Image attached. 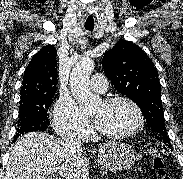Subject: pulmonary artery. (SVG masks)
I'll use <instances>...</instances> for the list:
<instances>
[{"label": "pulmonary artery", "instance_id": "pulmonary-artery-1", "mask_svg": "<svg viewBox=\"0 0 183 179\" xmlns=\"http://www.w3.org/2000/svg\"><path fill=\"white\" fill-rule=\"evenodd\" d=\"M90 86L98 93H105L108 88V82L102 74H94L90 79Z\"/></svg>", "mask_w": 183, "mask_h": 179}]
</instances>
